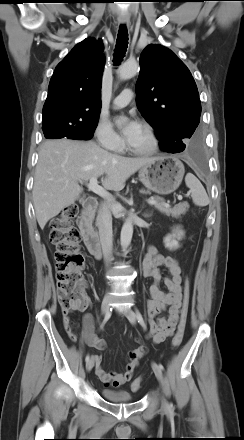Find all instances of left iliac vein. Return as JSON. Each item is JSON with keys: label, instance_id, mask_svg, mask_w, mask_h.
I'll return each instance as SVG.
<instances>
[{"label": "left iliac vein", "instance_id": "obj_1", "mask_svg": "<svg viewBox=\"0 0 244 440\" xmlns=\"http://www.w3.org/2000/svg\"><path fill=\"white\" fill-rule=\"evenodd\" d=\"M124 314H125V316L127 317V319L129 320V322L131 324H135L136 323L137 316H136L135 312L131 308H128V309L124 310ZM152 369H153V371L155 373V376L157 377V379L159 380V382L163 386L164 382H163L162 370L155 363H152ZM162 407L163 408H167L168 407V402L166 401L165 398H163V400H162Z\"/></svg>", "mask_w": 244, "mask_h": 440}]
</instances>
